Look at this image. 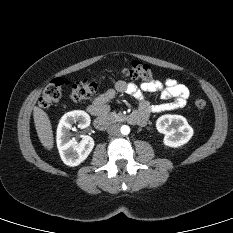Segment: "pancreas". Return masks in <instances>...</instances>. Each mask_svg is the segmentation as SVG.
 I'll list each match as a JSON object with an SVG mask.
<instances>
[{"mask_svg":"<svg viewBox=\"0 0 233 233\" xmlns=\"http://www.w3.org/2000/svg\"><path fill=\"white\" fill-rule=\"evenodd\" d=\"M112 115L116 118V119H119V118H121V115L120 114H115V113H112Z\"/></svg>","mask_w":233,"mask_h":233,"instance_id":"obj_1","label":"pancreas"}]
</instances>
